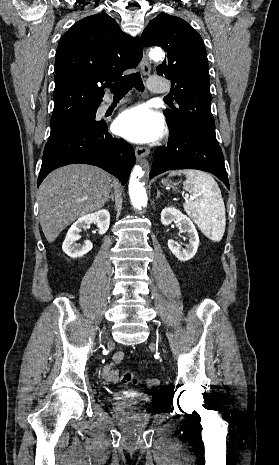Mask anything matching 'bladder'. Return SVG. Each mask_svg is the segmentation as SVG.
Returning <instances> with one entry per match:
<instances>
[{"label": "bladder", "mask_w": 279, "mask_h": 465, "mask_svg": "<svg viewBox=\"0 0 279 465\" xmlns=\"http://www.w3.org/2000/svg\"><path fill=\"white\" fill-rule=\"evenodd\" d=\"M151 398L140 393H121L118 395V402L123 409L139 408L148 404Z\"/></svg>", "instance_id": "bladder-1"}]
</instances>
